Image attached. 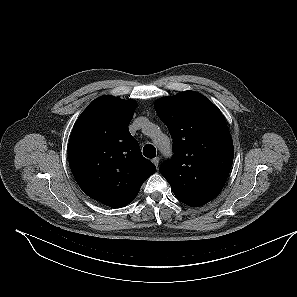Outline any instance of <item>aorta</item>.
<instances>
[{"label": "aorta", "mask_w": 297, "mask_h": 297, "mask_svg": "<svg viewBox=\"0 0 297 297\" xmlns=\"http://www.w3.org/2000/svg\"><path fill=\"white\" fill-rule=\"evenodd\" d=\"M148 128H149L150 130H156V129H157V127H156L155 125H153V124L148 125ZM162 140L166 141V142L168 143V145H167V146H163L162 143H161ZM157 144H158V146L160 147V149H168V148H170V140H169V138H168L167 136H165V135H161V136H160V139H159V141H158Z\"/></svg>", "instance_id": "762f6f07"}]
</instances>
